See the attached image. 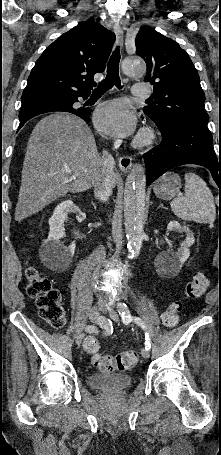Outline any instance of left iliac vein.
<instances>
[{"instance_id": "obj_1", "label": "left iliac vein", "mask_w": 221, "mask_h": 455, "mask_svg": "<svg viewBox=\"0 0 221 455\" xmlns=\"http://www.w3.org/2000/svg\"><path fill=\"white\" fill-rule=\"evenodd\" d=\"M118 309H119V305H118ZM109 316H110V318L113 321H115V322L119 321V315H118V313L116 311L110 310L109 311ZM141 355H142L143 358L148 359L149 358V351L146 348H143L141 350Z\"/></svg>"}]
</instances>
